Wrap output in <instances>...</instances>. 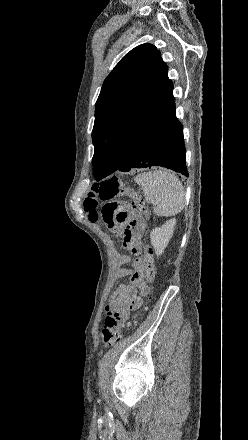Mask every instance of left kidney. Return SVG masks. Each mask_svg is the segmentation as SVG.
Segmentation results:
<instances>
[{
  "mask_svg": "<svg viewBox=\"0 0 248 440\" xmlns=\"http://www.w3.org/2000/svg\"><path fill=\"white\" fill-rule=\"evenodd\" d=\"M176 219L166 221L161 227L153 229L150 233L151 244L157 256L162 255L171 239Z\"/></svg>",
  "mask_w": 248,
  "mask_h": 440,
  "instance_id": "left-kidney-1",
  "label": "left kidney"
}]
</instances>
